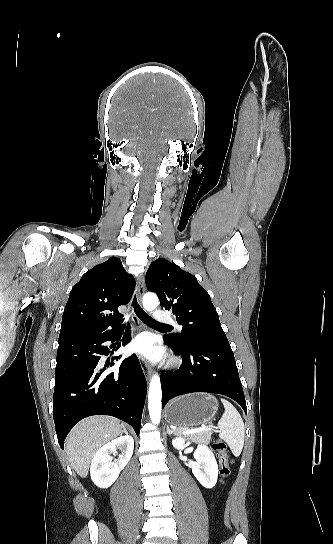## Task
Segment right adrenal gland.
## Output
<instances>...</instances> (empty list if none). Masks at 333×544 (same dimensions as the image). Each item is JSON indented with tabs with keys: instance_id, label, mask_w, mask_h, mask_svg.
Listing matches in <instances>:
<instances>
[{
	"instance_id": "1",
	"label": "right adrenal gland",
	"mask_w": 333,
	"mask_h": 544,
	"mask_svg": "<svg viewBox=\"0 0 333 544\" xmlns=\"http://www.w3.org/2000/svg\"><path fill=\"white\" fill-rule=\"evenodd\" d=\"M123 432H124L125 434H128V432H127V430H126L125 427H123Z\"/></svg>"
}]
</instances>
